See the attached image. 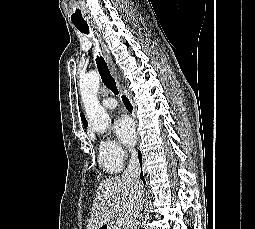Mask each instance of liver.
<instances>
[{"instance_id": "6515ba94", "label": "liver", "mask_w": 255, "mask_h": 229, "mask_svg": "<svg viewBox=\"0 0 255 229\" xmlns=\"http://www.w3.org/2000/svg\"><path fill=\"white\" fill-rule=\"evenodd\" d=\"M134 196V185L123 176H114L100 182L91 209L87 229H97L121 212L126 221Z\"/></svg>"}]
</instances>
